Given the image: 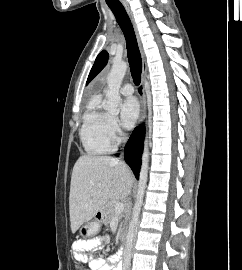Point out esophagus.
I'll use <instances>...</instances> for the list:
<instances>
[{"mask_svg":"<svg viewBox=\"0 0 242 270\" xmlns=\"http://www.w3.org/2000/svg\"><path fill=\"white\" fill-rule=\"evenodd\" d=\"M124 7H125V10H126L128 16H129L132 24H133L134 31H135L136 38H137V42H138V45H139V48H140V51H141V57H142L141 82H140V84L138 86V90H137L138 95H139V98H140V104H141V115H140V119H139V124H140L142 122L143 118H144V115H145L146 99H145L144 84H145V78H146V75H147L148 68H147L146 59H145L144 54L142 52L141 39H140L138 30H137L136 23L134 21V17H133L132 11L130 10V8H129L128 5H124Z\"/></svg>","mask_w":242,"mask_h":270,"instance_id":"esophagus-1","label":"esophagus"}]
</instances>
